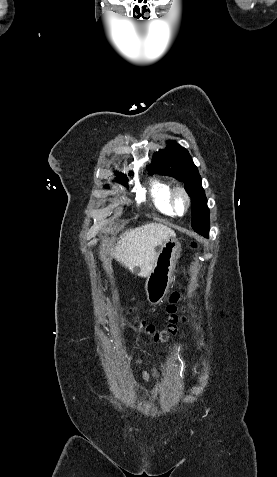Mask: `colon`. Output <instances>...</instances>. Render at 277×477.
I'll return each mask as SVG.
<instances>
[{
    "label": "colon",
    "mask_w": 277,
    "mask_h": 477,
    "mask_svg": "<svg viewBox=\"0 0 277 477\" xmlns=\"http://www.w3.org/2000/svg\"><path fill=\"white\" fill-rule=\"evenodd\" d=\"M191 248L197 247V242L191 243ZM183 295L180 290H175L169 300L167 312L169 315L167 328L164 330H157L152 324H148L142 319L137 320L138 327L146 332L154 342H166L170 336L179 333V325L184 322L185 316L181 306Z\"/></svg>",
    "instance_id": "1"
}]
</instances>
